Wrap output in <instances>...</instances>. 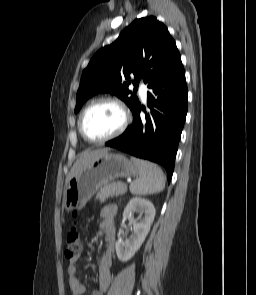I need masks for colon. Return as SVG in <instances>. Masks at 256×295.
Returning a JSON list of instances; mask_svg holds the SVG:
<instances>
[{"label": "colon", "instance_id": "colon-1", "mask_svg": "<svg viewBox=\"0 0 256 295\" xmlns=\"http://www.w3.org/2000/svg\"><path fill=\"white\" fill-rule=\"evenodd\" d=\"M84 219V216L77 210L72 212L73 225L66 237L65 256L66 258L76 257L82 250L81 234L78 230L79 224Z\"/></svg>", "mask_w": 256, "mask_h": 295}]
</instances>
